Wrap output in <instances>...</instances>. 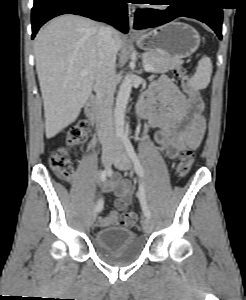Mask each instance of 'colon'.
<instances>
[{
	"label": "colon",
	"instance_id": "obj_1",
	"mask_svg": "<svg viewBox=\"0 0 246 300\" xmlns=\"http://www.w3.org/2000/svg\"><path fill=\"white\" fill-rule=\"evenodd\" d=\"M175 73L182 83L183 90L187 96L191 98V101L197 105H201L202 100L198 91L191 85L187 70L184 67H178L175 70ZM88 134V124L86 122H81L71 130L67 144L70 147H81L87 141ZM193 162L194 150L192 147H187L181 152L180 159L176 167L177 176L180 178L185 177L189 173ZM48 164L53 171L64 178H70L74 174L73 167L67 157V151L65 148H58L51 152L48 158ZM138 221V215L132 212L125 213L122 216V224L128 227L136 225Z\"/></svg>",
	"mask_w": 246,
	"mask_h": 300
}]
</instances>
